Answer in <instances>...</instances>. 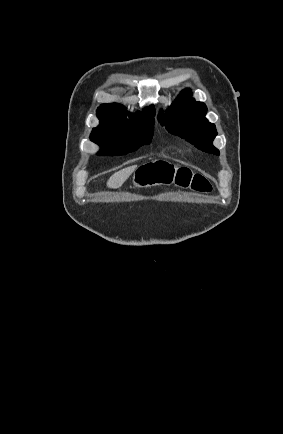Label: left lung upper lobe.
<instances>
[{
    "label": "left lung upper lobe",
    "mask_w": 283,
    "mask_h": 434,
    "mask_svg": "<svg viewBox=\"0 0 283 434\" xmlns=\"http://www.w3.org/2000/svg\"><path fill=\"white\" fill-rule=\"evenodd\" d=\"M190 94V89L182 91L165 114L160 113L159 121L170 133L185 138L198 149L219 155V150L212 145L217 135L215 125L205 118L207 107Z\"/></svg>",
    "instance_id": "obj_1"
}]
</instances>
